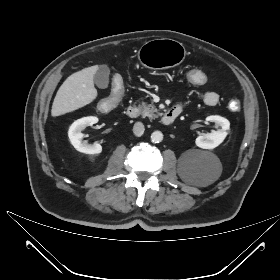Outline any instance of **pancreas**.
Here are the masks:
<instances>
[{
    "mask_svg": "<svg viewBox=\"0 0 280 280\" xmlns=\"http://www.w3.org/2000/svg\"><path fill=\"white\" fill-rule=\"evenodd\" d=\"M139 110L143 117H148L151 120L158 117L157 109L153 104L142 102L141 105H139Z\"/></svg>",
    "mask_w": 280,
    "mask_h": 280,
    "instance_id": "cf45deb5",
    "label": "pancreas"
}]
</instances>
